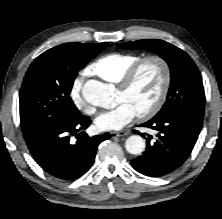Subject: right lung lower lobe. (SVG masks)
<instances>
[{
    "instance_id": "obj_1",
    "label": "right lung lower lobe",
    "mask_w": 222,
    "mask_h": 219,
    "mask_svg": "<svg viewBox=\"0 0 222 219\" xmlns=\"http://www.w3.org/2000/svg\"><path fill=\"white\" fill-rule=\"evenodd\" d=\"M91 123L87 116L69 115L37 135L26 139L35 161L51 176L74 180L85 174L94 163L98 145L110 138L109 133L89 137L85 132ZM75 135L77 141L71 140Z\"/></svg>"
}]
</instances>
